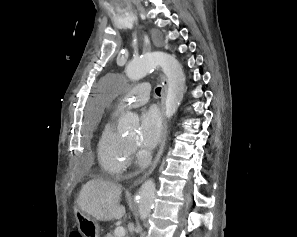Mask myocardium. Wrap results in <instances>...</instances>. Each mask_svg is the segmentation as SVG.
Listing matches in <instances>:
<instances>
[{"instance_id":"myocardium-1","label":"myocardium","mask_w":297,"mask_h":237,"mask_svg":"<svg viewBox=\"0 0 297 237\" xmlns=\"http://www.w3.org/2000/svg\"><path fill=\"white\" fill-rule=\"evenodd\" d=\"M129 143H133V141H128Z\"/></svg>"}]
</instances>
